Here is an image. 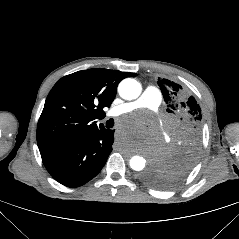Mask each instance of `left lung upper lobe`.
<instances>
[{
    "instance_id": "5c2ea615",
    "label": "left lung upper lobe",
    "mask_w": 239,
    "mask_h": 239,
    "mask_svg": "<svg viewBox=\"0 0 239 239\" xmlns=\"http://www.w3.org/2000/svg\"><path fill=\"white\" fill-rule=\"evenodd\" d=\"M167 104L170 141L164 154L143 175L155 188H170L192 169L201 146V108L185 88L168 79H158Z\"/></svg>"
}]
</instances>
